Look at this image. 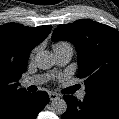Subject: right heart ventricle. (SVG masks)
I'll return each mask as SVG.
<instances>
[{"label": "right heart ventricle", "mask_w": 119, "mask_h": 119, "mask_svg": "<svg viewBox=\"0 0 119 119\" xmlns=\"http://www.w3.org/2000/svg\"><path fill=\"white\" fill-rule=\"evenodd\" d=\"M69 46V44L65 43V42H57L53 45L54 50L56 49H60L63 47Z\"/></svg>", "instance_id": "e07e8e85"}]
</instances>
